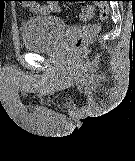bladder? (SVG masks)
I'll return each mask as SVG.
<instances>
[{"mask_svg": "<svg viewBox=\"0 0 135 161\" xmlns=\"http://www.w3.org/2000/svg\"><path fill=\"white\" fill-rule=\"evenodd\" d=\"M65 30V21L60 17H30L22 31L23 46L33 52L52 49Z\"/></svg>", "mask_w": 135, "mask_h": 161, "instance_id": "1", "label": "bladder"}]
</instances>
